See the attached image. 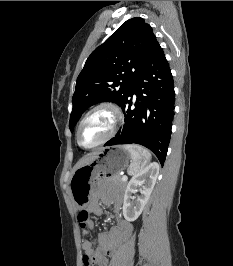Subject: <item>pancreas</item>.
Instances as JSON below:
<instances>
[{"mask_svg":"<svg viewBox=\"0 0 233 266\" xmlns=\"http://www.w3.org/2000/svg\"><path fill=\"white\" fill-rule=\"evenodd\" d=\"M109 181L119 185L120 187H125L126 186V181H122L121 176L119 174L112 175L109 178Z\"/></svg>","mask_w":233,"mask_h":266,"instance_id":"pancreas-1","label":"pancreas"}]
</instances>
